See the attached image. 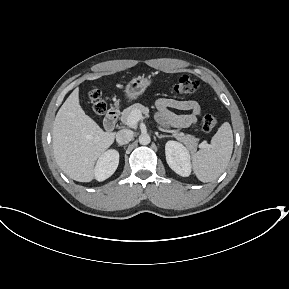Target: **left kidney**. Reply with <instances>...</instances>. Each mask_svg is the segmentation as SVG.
Returning a JSON list of instances; mask_svg holds the SVG:
<instances>
[{
  "instance_id": "5707ae66",
  "label": "left kidney",
  "mask_w": 289,
  "mask_h": 289,
  "mask_svg": "<svg viewBox=\"0 0 289 289\" xmlns=\"http://www.w3.org/2000/svg\"><path fill=\"white\" fill-rule=\"evenodd\" d=\"M166 161L178 175L188 177L191 174V156L189 150L177 141H168L165 145Z\"/></svg>"
}]
</instances>
